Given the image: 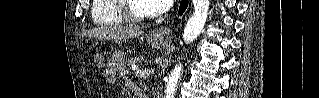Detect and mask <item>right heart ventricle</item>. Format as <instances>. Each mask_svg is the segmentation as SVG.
<instances>
[{
  "label": "right heart ventricle",
  "mask_w": 319,
  "mask_h": 98,
  "mask_svg": "<svg viewBox=\"0 0 319 98\" xmlns=\"http://www.w3.org/2000/svg\"><path fill=\"white\" fill-rule=\"evenodd\" d=\"M116 0H94L91 7V17L95 25L106 26L123 23L116 9Z\"/></svg>",
  "instance_id": "e07e8e85"
}]
</instances>
